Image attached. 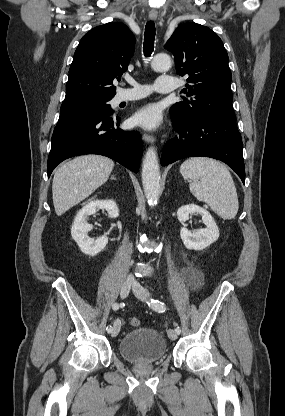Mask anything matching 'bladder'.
<instances>
[{"instance_id":"1","label":"bladder","mask_w":285,"mask_h":416,"mask_svg":"<svg viewBox=\"0 0 285 416\" xmlns=\"http://www.w3.org/2000/svg\"><path fill=\"white\" fill-rule=\"evenodd\" d=\"M121 360L129 363L156 364L164 359L167 346L163 335L151 327L130 329L118 342Z\"/></svg>"}]
</instances>
